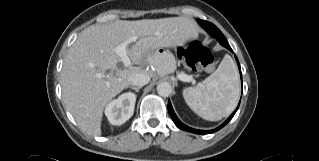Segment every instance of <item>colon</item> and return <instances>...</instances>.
<instances>
[{"instance_id": "obj_1", "label": "colon", "mask_w": 319, "mask_h": 161, "mask_svg": "<svg viewBox=\"0 0 319 161\" xmlns=\"http://www.w3.org/2000/svg\"><path fill=\"white\" fill-rule=\"evenodd\" d=\"M177 54L189 71L210 69L214 64V55L196 40L179 47Z\"/></svg>"}]
</instances>
